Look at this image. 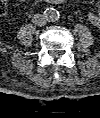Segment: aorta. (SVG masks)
Instances as JSON below:
<instances>
[{
    "label": "aorta",
    "instance_id": "1",
    "mask_svg": "<svg viewBox=\"0 0 100 118\" xmlns=\"http://www.w3.org/2000/svg\"><path fill=\"white\" fill-rule=\"evenodd\" d=\"M44 15L46 16L47 18V21L49 22H55L59 19L60 17V13L58 10L54 9V8H47L45 11H44Z\"/></svg>",
    "mask_w": 100,
    "mask_h": 118
}]
</instances>
